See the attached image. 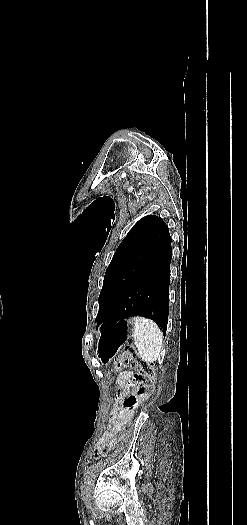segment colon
<instances>
[{
  "instance_id": "obj_1",
  "label": "colon",
  "mask_w": 247,
  "mask_h": 525,
  "mask_svg": "<svg viewBox=\"0 0 247 525\" xmlns=\"http://www.w3.org/2000/svg\"><path fill=\"white\" fill-rule=\"evenodd\" d=\"M132 366L138 370L129 381L128 385L135 388V393L127 394L123 400L124 408L130 412H136L149 395V388L155 382V365L142 359L133 345H127L117 356V363L113 369L115 373H121L125 367Z\"/></svg>"
}]
</instances>
